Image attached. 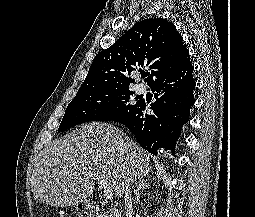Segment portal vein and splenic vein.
<instances>
[{
  "label": "portal vein and splenic vein",
  "instance_id": "portal-vein-and-splenic-vein-1",
  "mask_svg": "<svg viewBox=\"0 0 255 217\" xmlns=\"http://www.w3.org/2000/svg\"><path fill=\"white\" fill-rule=\"evenodd\" d=\"M66 174H69L68 172ZM99 181L100 186L103 188L104 198L111 199L113 197V189L108 185L107 181L99 177L97 178Z\"/></svg>",
  "mask_w": 255,
  "mask_h": 217
}]
</instances>
